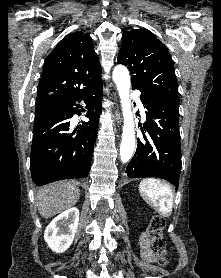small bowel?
<instances>
[{
  "mask_svg": "<svg viewBox=\"0 0 221 278\" xmlns=\"http://www.w3.org/2000/svg\"><path fill=\"white\" fill-rule=\"evenodd\" d=\"M140 244L142 249V256L145 260L152 262L155 260L154 255L150 251V240L146 233H143L140 238Z\"/></svg>",
  "mask_w": 221,
  "mask_h": 278,
  "instance_id": "small-bowel-1",
  "label": "small bowel"
}]
</instances>
